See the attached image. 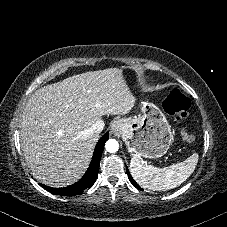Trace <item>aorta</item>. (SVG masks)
<instances>
[{
	"mask_svg": "<svg viewBox=\"0 0 227 227\" xmlns=\"http://www.w3.org/2000/svg\"><path fill=\"white\" fill-rule=\"evenodd\" d=\"M105 148L109 153H115L119 149V143L115 139H109L106 144Z\"/></svg>",
	"mask_w": 227,
	"mask_h": 227,
	"instance_id": "1",
	"label": "aorta"
}]
</instances>
